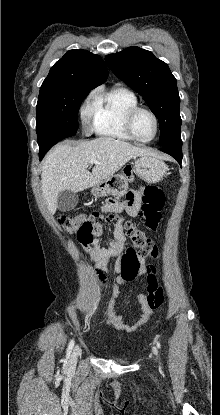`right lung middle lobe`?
<instances>
[{"instance_id": "right-lung-middle-lobe-1", "label": "right lung middle lobe", "mask_w": 220, "mask_h": 415, "mask_svg": "<svg viewBox=\"0 0 220 415\" xmlns=\"http://www.w3.org/2000/svg\"><path fill=\"white\" fill-rule=\"evenodd\" d=\"M89 92L70 87L40 88L36 106V132L40 149L51 148L58 141L77 133L78 110Z\"/></svg>"}]
</instances>
